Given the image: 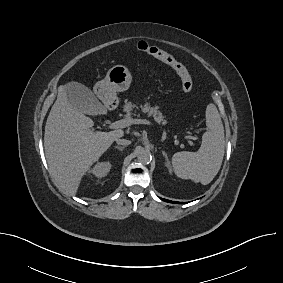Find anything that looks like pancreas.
<instances>
[{"label":"pancreas","mask_w":283,"mask_h":283,"mask_svg":"<svg viewBox=\"0 0 283 283\" xmlns=\"http://www.w3.org/2000/svg\"><path fill=\"white\" fill-rule=\"evenodd\" d=\"M134 108H136L137 110L139 109V107L135 105L134 103L130 101H126L124 105V112L126 113L125 114L126 119L132 118V115L134 114L133 113ZM140 108H141V111L145 113L148 117H153L157 123L162 124V125H165L167 123V121L165 120V117L158 110L157 106L151 107L149 103H145L144 105H141Z\"/></svg>","instance_id":"pancreas-1"}]
</instances>
